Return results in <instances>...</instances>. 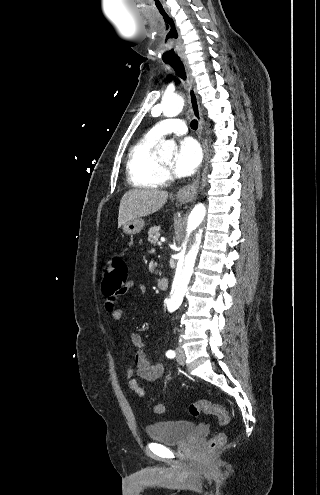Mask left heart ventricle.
Wrapping results in <instances>:
<instances>
[{
    "label": "left heart ventricle",
    "instance_id": "left-heart-ventricle-1",
    "mask_svg": "<svg viewBox=\"0 0 320 495\" xmlns=\"http://www.w3.org/2000/svg\"><path fill=\"white\" fill-rule=\"evenodd\" d=\"M172 161V157H165V158H162V162L165 163V164H170Z\"/></svg>",
    "mask_w": 320,
    "mask_h": 495
}]
</instances>
